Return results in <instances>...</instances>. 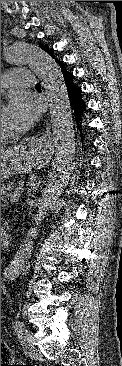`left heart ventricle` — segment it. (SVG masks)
<instances>
[{"instance_id": "1", "label": "left heart ventricle", "mask_w": 122, "mask_h": 366, "mask_svg": "<svg viewBox=\"0 0 122 366\" xmlns=\"http://www.w3.org/2000/svg\"><path fill=\"white\" fill-rule=\"evenodd\" d=\"M15 131H16L15 128L12 126L10 121L7 119L6 108L1 106V133L12 134Z\"/></svg>"}]
</instances>
